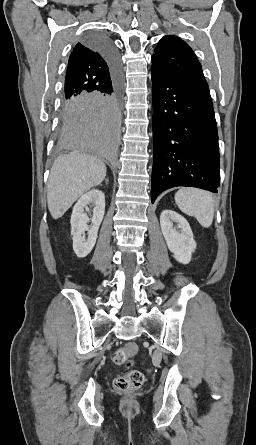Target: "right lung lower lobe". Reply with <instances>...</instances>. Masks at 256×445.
<instances>
[{
    "label": "right lung lower lobe",
    "mask_w": 256,
    "mask_h": 445,
    "mask_svg": "<svg viewBox=\"0 0 256 445\" xmlns=\"http://www.w3.org/2000/svg\"><path fill=\"white\" fill-rule=\"evenodd\" d=\"M105 57L111 83L94 93L62 101L61 144L90 154L108 163L117 159L121 126V73L119 57L112 42L103 34H90L85 40Z\"/></svg>",
    "instance_id": "1"
}]
</instances>
